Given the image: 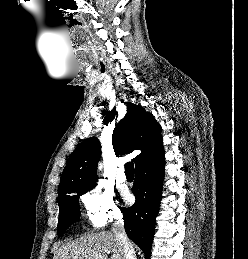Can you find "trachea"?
<instances>
[{
	"instance_id": "1",
	"label": "trachea",
	"mask_w": 248,
	"mask_h": 259,
	"mask_svg": "<svg viewBox=\"0 0 248 259\" xmlns=\"http://www.w3.org/2000/svg\"><path fill=\"white\" fill-rule=\"evenodd\" d=\"M126 175H134V164L132 162H127L125 164Z\"/></svg>"
}]
</instances>
